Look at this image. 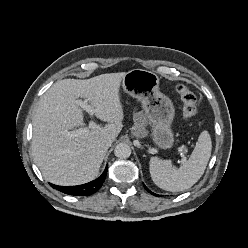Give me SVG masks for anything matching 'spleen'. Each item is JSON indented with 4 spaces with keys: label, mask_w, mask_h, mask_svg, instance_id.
<instances>
[{
    "label": "spleen",
    "mask_w": 248,
    "mask_h": 248,
    "mask_svg": "<svg viewBox=\"0 0 248 248\" xmlns=\"http://www.w3.org/2000/svg\"><path fill=\"white\" fill-rule=\"evenodd\" d=\"M211 150V137L207 131H203L190 158L178 169L172 168L170 160L152 157L149 170L153 182L158 187L171 192L189 189L203 175L211 156Z\"/></svg>",
    "instance_id": "spleen-1"
}]
</instances>
